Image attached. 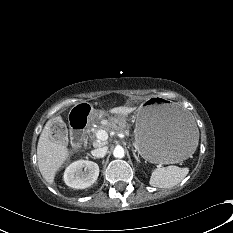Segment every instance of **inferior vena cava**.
I'll use <instances>...</instances> for the list:
<instances>
[{"instance_id":"1","label":"inferior vena cava","mask_w":233,"mask_h":233,"mask_svg":"<svg viewBox=\"0 0 233 233\" xmlns=\"http://www.w3.org/2000/svg\"><path fill=\"white\" fill-rule=\"evenodd\" d=\"M108 151V147H100L91 151V154L96 158H103Z\"/></svg>"}]
</instances>
